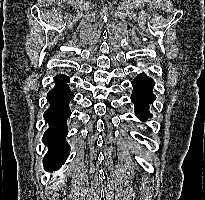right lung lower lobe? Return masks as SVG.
Instances as JSON below:
<instances>
[{"label":"right lung lower lobe","instance_id":"right-lung-lower-lobe-1","mask_svg":"<svg viewBox=\"0 0 205 200\" xmlns=\"http://www.w3.org/2000/svg\"><path fill=\"white\" fill-rule=\"evenodd\" d=\"M55 87L47 94L50 107L44 117L49 128L43 136V142L48 145L49 151L43 159L44 169L57 170L66 161L70 146L66 142L67 118L71 115L69 102L74 98L67 82L69 78L64 75L55 77Z\"/></svg>","mask_w":205,"mask_h":200}]
</instances>
